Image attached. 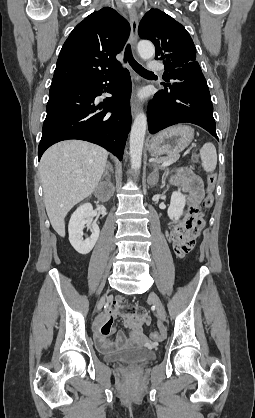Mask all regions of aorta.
Here are the masks:
<instances>
[{"mask_svg": "<svg viewBox=\"0 0 255 418\" xmlns=\"http://www.w3.org/2000/svg\"><path fill=\"white\" fill-rule=\"evenodd\" d=\"M137 48L141 58L143 59H149L153 57L155 53V48L149 41H140ZM146 129L147 118L146 115L141 112L136 116L130 133V161L131 167L134 170H139L141 167L142 150Z\"/></svg>", "mask_w": 255, "mask_h": 418, "instance_id": "1", "label": "aorta"}]
</instances>
